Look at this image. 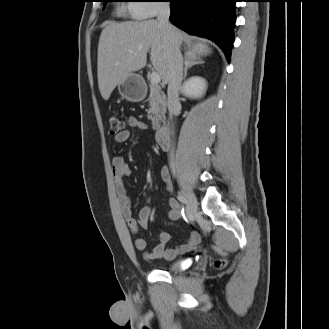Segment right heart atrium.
I'll return each instance as SVG.
<instances>
[{"instance_id": "right-heart-atrium-1", "label": "right heart atrium", "mask_w": 329, "mask_h": 329, "mask_svg": "<svg viewBox=\"0 0 329 329\" xmlns=\"http://www.w3.org/2000/svg\"><path fill=\"white\" fill-rule=\"evenodd\" d=\"M164 0H133L129 11L135 19H147L155 16L164 9Z\"/></svg>"}]
</instances>
